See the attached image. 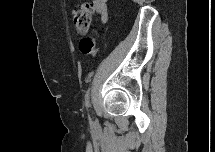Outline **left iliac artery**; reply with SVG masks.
I'll use <instances>...</instances> for the list:
<instances>
[{
    "mask_svg": "<svg viewBox=\"0 0 215 152\" xmlns=\"http://www.w3.org/2000/svg\"><path fill=\"white\" fill-rule=\"evenodd\" d=\"M85 106L86 108L90 106V88H88L85 94Z\"/></svg>",
    "mask_w": 215,
    "mask_h": 152,
    "instance_id": "obj_1",
    "label": "left iliac artery"
}]
</instances>
